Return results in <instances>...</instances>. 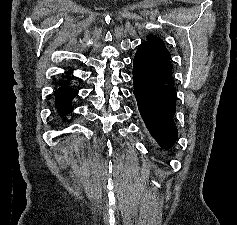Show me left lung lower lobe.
<instances>
[{
    "instance_id": "left-lung-lower-lobe-1",
    "label": "left lung lower lobe",
    "mask_w": 237,
    "mask_h": 225,
    "mask_svg": "<svg viewBox=\"0 0 237 225\" xmlns=\"http://www.w3.org/2000/svg\"><path fill=\"white\" fill-rule=\"evenodd\" d=\"M134 95L138 109L151 136L163 148H170L177 140L173 121L176 93L173 83L150 84L133 74Z\"/></svg>"
}]
</instances>
